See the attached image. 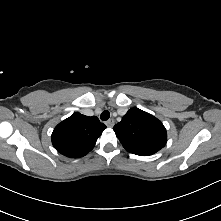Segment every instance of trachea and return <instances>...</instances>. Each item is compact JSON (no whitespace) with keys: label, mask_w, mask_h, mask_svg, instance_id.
Listing matches in <instances>:
<instances>
[{"label":"trachea","mask_w":221,"mask_h":221,"mask_svg":"<svg viewBox=\"0 0 221 221\" xmlns=\"http://www.w3.org/2000/svg\"><path fill=\"white\" fill-rule=\"evenodd\" d=\"M109 117H110V113H109V111H107V110L103 111V112L101 113V115H100V118H101V120H103V121L108 120Z\"/></svg>","instance_id":"obj_1"}]
</instances>
